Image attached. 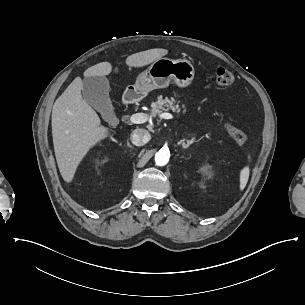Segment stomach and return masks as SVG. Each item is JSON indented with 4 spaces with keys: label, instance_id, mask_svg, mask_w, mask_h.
Instances as JSON below:
<instances>
[{
    "label": "stomach",
    "instance_id": "1",
    "mask_svg": "<svg viewBox=\"0 0 305 305\" xmlns=\"http://www.w3.org/2000/svg\"><path fill=\"white\" fill-rule=\"evenodd\" d=\"M194 78L195 68L189 60L162 57L138 77L136 85L127 88L128 98H140L153 89L167 87L171 80L179 88H186L193 83Z\"/></svg>",
    "mask_w": 305,
    "mask_h": 305
}]
</instances>
